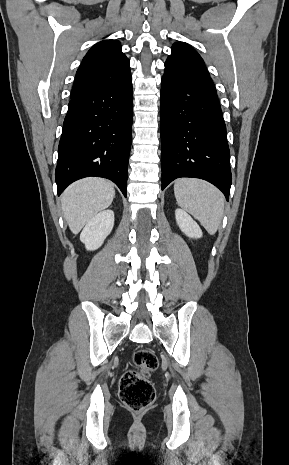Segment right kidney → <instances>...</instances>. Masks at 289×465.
Listing matches in <instances>:
<instances>
[{
    "label": "right kidney",
    "mask_w": 289,
    "mask_h": 465,
    "mask_svg": "<svg viewBox=\"0 0 289 465\" xmlns=\"http://www.w3.org/2000/svg\"><path fill=\"white\" fill-rule=\"evenodd\" d=\"M114 226V212L104 210L95 215L84 227L80 240L87 250L98 249L111 233Z\"/></svg>",
    "instance_id": "1"
}]
</instances>
